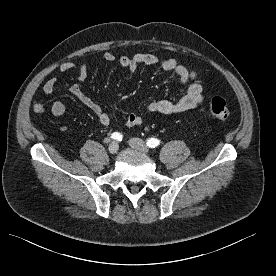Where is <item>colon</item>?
I'll return each mask as SVG.
<instances>
[{"label":"colon","mask_w":276,"mask_h":276,"mask_svg":"<svg viewBox=\"0 0 276 276\" xmlns=\"http://www.w3.org/2000/svg\"><path fill=\"white\" fill-rule=\"evenodd\" d=\"M209 108L211 115L220 121H226L230 117L229 107L222 97H213Z\"/></svg>","instance_id":"obj_1"}]
</instances>
